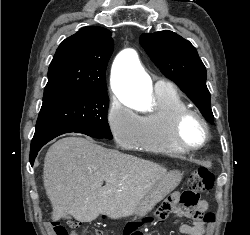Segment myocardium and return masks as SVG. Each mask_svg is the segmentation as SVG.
Instances as JSON below:
<instances>
[{"label":"myocardium","instance_id":"1","mask_svg":"<svg viewBox=\"0 0 250 235\" xmlns=\"http://www.w3.org/2000/svg\"><path fill=\"white\" fill-rule=\"evenodd\" d=\"M191 117L196 118L202 125L204 130V137L200 144L198 145H189L184 142L182 138V127L183 124ZM171 135L174 143L183 151L194 152L202 149L208 143L210 139V129L207 120L205 117L197 110L186 108L178 113L173 118L171 125Z\"/></svg>","mask_w":250,"mask_h":235}]
</instances>
